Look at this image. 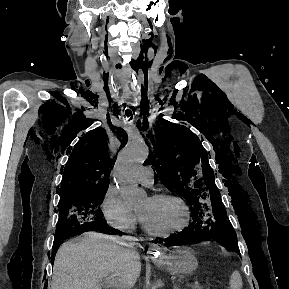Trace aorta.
I'll use <instances>...</instances> for the list:
<instances>
[{
    "label": "aorta",
    "mask_w": 289,
    "mask_h": 289,
    "mask_svg": "<svg viewBox=\"0 0 289 289\" xmlns=\"http://www.w3.org/2000/svg\"><path fill=\"white\" fill-rule=\"evenodd\" d=\"M148 147L138 138L130 140L118 154L114 179L127 206H140L147 198L146 192L139 188L134 177L148 158Z\"/></svg>",
    "instance_id": "1"
}]
</instances>
